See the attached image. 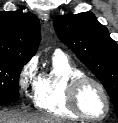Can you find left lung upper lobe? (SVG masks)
Here are the masks:
<instances>
[{
	"label": "left lung upper lobe",
	"instance_id": "1",
	"mask_svg": "<svg viewBox=\"0 0 118 123\" xmlns=\"http://www.w3.org/2000/svg\"><path fill=\"white\" fill-rule=\"evenodd\" d=\"M54 28L61 42L101 81L118 117V45L107 28L90 12L57 16Z\"/></svg>",
	"mask_w": 118,
	"mask_h": 123
}]
</instances>
